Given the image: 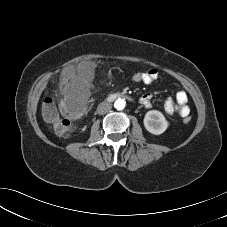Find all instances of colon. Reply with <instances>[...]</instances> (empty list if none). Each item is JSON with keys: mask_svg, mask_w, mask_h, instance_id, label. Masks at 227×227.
Instances as JSON below:
<instances>
[{"mask_svg": "<svg viewBox=\"0 0 227 227\" xmlns=\"http://www.w3.org/2000/svg\"><path fill=\"white\" fill-rule=\"evenodd\" d=\"M129 79L134 83H142L145 79V72H133L129 75ZM42 114L56 133L67 135L72 130V121L82 116L83 107L71 101H63L57 106L52 98H46L43 102ZM181 117L185 123L191 121L189 113L184 112Z\"/></svg>", "mask_w": 227, "mask_h": 227, "instance_id": "colon-1", "label": "colon"}]
</instances>
